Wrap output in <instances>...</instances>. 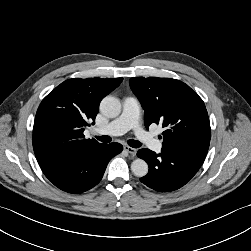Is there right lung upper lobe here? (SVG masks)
I'll return each instance as SVG.
<instances>
[{"instance_id": "1", "label": "right lung upper lobe", "mask_w": 251, "mask_h": 251, "mask_svg": "<svg viewBox=\"0 0 251 251\" xmlns=\"http://www.w3.org/2000/svg\"><path fill=\"white\" fill-rule=\"evenodd\" d=\"M123 78H73L51 91L38 107L33 128L37 160L75 154L101 145L85 139L84 130L94 124L101 100Z\"/></svg>"}]
</instances>
